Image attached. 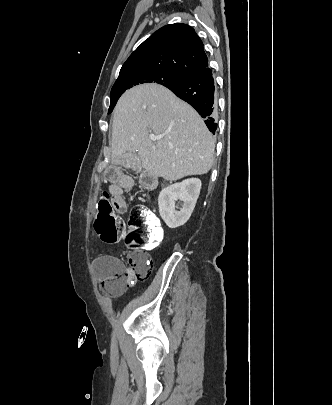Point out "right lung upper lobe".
I'll return each instance as SVG.
<instances>
[{"label": "right lung upper lobe", "instance_id": "cb5924a9", "mask_svg": "<svg viewBox=\"0 0 332 405\" xmlns=\"http://www.w3.org/2000/svg\"><path fill=\"white\" fill-rule=\"evenodd\" d=\"M208 66L201 39L186 24L166 25L146 39L123 64L120 75L154 70L186 77Z\"/></svg>", "mask_w": 332, "mask_h": 405}]
</instances>
